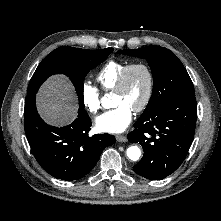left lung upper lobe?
I'll list each match as a JSON object with an SVG mask.
<instances>
[{
    "instance_id": "1",
    "label": "left lung upper lobe",
    "mask_w": 221,
    "mask_h": 221,
    "mask_svg": "<svg viewBox=\"0 0 221 221\" xmlns=\"http://www.w3.org/2000/svg\"><path fill=\"white\" fill-rule=\"evenodd\" d=\"M146 59L152 70L153 93L141 116L147 115L154 107L172 100L195 96L193 83L178 57L170 50L148 46L139 49L118 51Z\"/></svg>"
}]
</instances>
